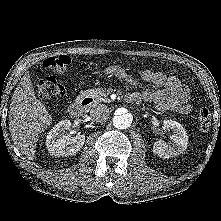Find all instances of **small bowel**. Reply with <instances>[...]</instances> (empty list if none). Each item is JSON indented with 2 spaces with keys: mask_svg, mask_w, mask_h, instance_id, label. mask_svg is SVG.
Returning a JSON list of instances; mask_svg holds the SVG:
<instances>
[{
  "mask_svg": "<svg viewBox=\"0 0 221 221\" xmlns=\"http://www.w3.org/2000/svg\"><path fill=\"white\" fill-rule=\"evenodd\" d=\"M106 76L117 77L136 87V80L119 66H109L104 70ZM141 78L153 83L158 89H146L142 92L135 91L129 95V101L138 104L141 101L152 102L156 109L165 112L172 111L179 114H189L192 107L189 104V89L176 77L166 76L161 72L143 70Z\"/></svg>",
  "mask_w": 221,
  "mask_h": 221,
  "instance_id": "1",
  "label": "small bowel"
}]
</instances>
